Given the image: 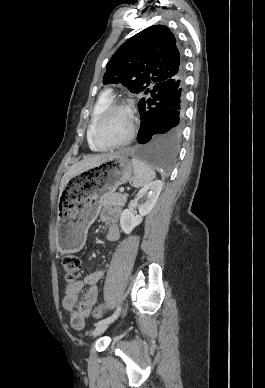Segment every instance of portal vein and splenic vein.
<instances>
[{
	"label": "portal vein and splenic vein",
	"mask_w": 265,
	"mask_h": 388,
	"mask_svg": "<svg viewBox=\"0 0 265 388\" xmlns=\"http://www.w3.org/2000/svg\"><path fill=\"white\" fill-rule=\"evenodd\" d=\"M120 192H124V188H120Z\"/></svg>",
	"instance_id": "18ae733b"
}]
</instances>
